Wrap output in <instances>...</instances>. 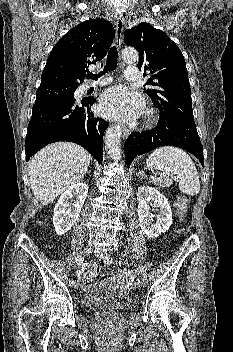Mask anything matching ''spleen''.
Segmentation results:
<instances>
[{"instance_id": "1", "label": "spleen", "mask_w": 233, "mask_h": 352, "mask_svg": "<svg viewBox=\"0 0 233 352\" xmlns=\"http://www.w3.org/2000/svg\"><path fill=\"white\" fill-rule=\"evenodd\" d=\"M146 166L169 172L179 178V189L187 195H196L200 191V180L191 157L182 149L163 146L155 149L147 158Z\"/></svg>"}]
</instances>
